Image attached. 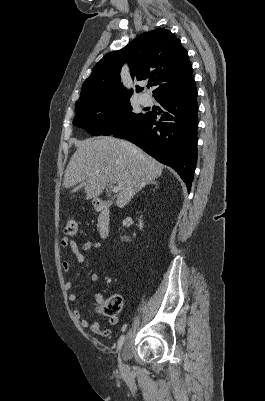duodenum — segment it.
Instances as JSON below:
<instances>
[{
	"label": "duodenum",
	"mask_w": 265,
	"mask_h": 401,
	"mask_svg": "<svg viewBox=\"0 0 265 401\" xmlns=\"http://www.w3.org/2000/svg\"><path fill=\"white\" fill-rule=\"evenodd\" d=\"M95 209L98 212L97 227L102 238H106L110 232L111 210L110 206L102 199H96Z\"/></svg>",
	"instance_id": "duodenum-1"
}]
</instances>
